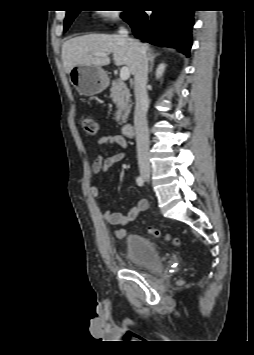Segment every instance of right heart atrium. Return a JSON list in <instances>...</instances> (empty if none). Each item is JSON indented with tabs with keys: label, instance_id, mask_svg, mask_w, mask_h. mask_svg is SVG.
<instances>
[{
	"label": "right heart atrium",
	"instance_id": "1",
	"mask_svg": "<svg viewBox=\"0 0 254 355\" xmlns=\"http://www.w3.org/2000/svg\"><path fill=\"white\" fill-rule=\"evenodd\" d=\"M102 16L109 20L119 19V13L117 12H103Z\"/></svg>",
	"mask_w": 254,
	"mask_h": 355
}]
</instances>
